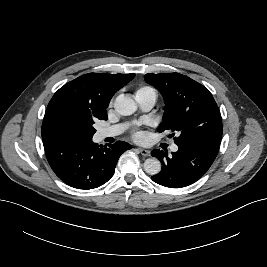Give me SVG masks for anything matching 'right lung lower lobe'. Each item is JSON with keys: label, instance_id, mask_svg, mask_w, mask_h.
<instances>
[{"label": "right lung lower lobe", "instance_id": "1", "mask_svg": "<svg viewBox=\"0 0 267 267\" xmlns=\"http://www.w3.org/2000/svg\"><path fill=\"white\" fill-rule=\"evenodd\" d=\"M42 139L52 170L64 183L78 189H93L106 183L113 176L121 154L132 148L123 141L103 147L92 138L49 134Z\"/></svg>", "mask_w": 267, "mask_h": 267}]
</instances>
